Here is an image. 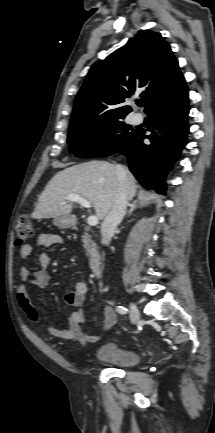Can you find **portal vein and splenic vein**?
<instances>
[{
    "label": "portal vein and splenic vein",
    "mask_w": 215,
    "mask_h": 433,
    "mask_svg": "<svg viewBox=\"0 0 215 433\" xmlns=\"http://www.w3.org/2000/svg\"><path fill=\"white\" fill-rule=\"evenodd\" d=\"M65 201L78 202L79 204H81L85 208H90L91 207V203L88 200H86V199H84L81 196L76 195V194L68 195L65 198ZM87 223L90 226H96L98 224V218H97V216H95V215L89 216L88 219H87Z\"/></svg>",
    "instance_id": "1"
}]
</instances>
